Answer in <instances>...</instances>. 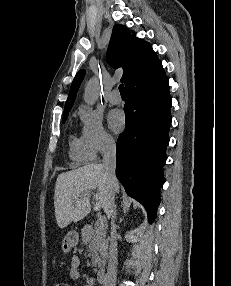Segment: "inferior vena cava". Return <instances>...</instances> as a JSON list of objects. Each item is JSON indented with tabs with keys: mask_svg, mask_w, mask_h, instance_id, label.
I'll use <instances>...</instances> for the list:
<instances>
[{
	"mask_svg": "<svg viewBox=\"0 0 231 286\" xmlns=\"http://www.w3.org/2000/svg\"><path fill=\"white\" fill-rule=\"evenodd\" d=\"M107 180L109 183V204L106 209V214L111 218V232H110V246L108 256V267L106 274V286H115L117 275V233L116 225L114 222V209H115V193L114 188L117 186L118 181L115 175L116 167V146L112 139H107L103 147V161Z\"/></svg>",
	"mask_w": 231,
	"mask_h": 286,
	"instance_id": "obj_1",
	"label": "inferior vena cava"
}]
</instances>
